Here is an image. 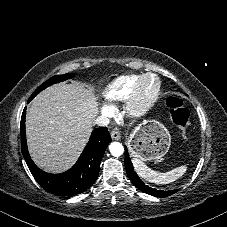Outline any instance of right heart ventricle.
Here are the masks:
<instances>
[{
  "instance_id": "obj_1",
  "label": "right heart ventricle",
  "mask_w": 227,
  "mask_h": 227,
  "mask_svg": "<svg viewBox=\"0 0 227 227\" xmlns=\"http://www.w3.org/2000/svg\"><path fill=\"white\" fill-rule=\"evenodd\" d=\"M140 76V74H128L115 78L104 88L102 97L109 103L126 100Z\"/></svg>"
}]
</instances>
